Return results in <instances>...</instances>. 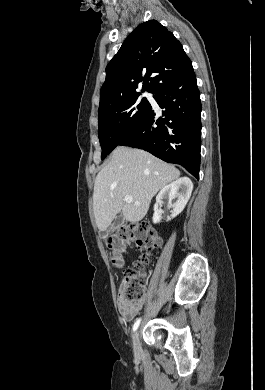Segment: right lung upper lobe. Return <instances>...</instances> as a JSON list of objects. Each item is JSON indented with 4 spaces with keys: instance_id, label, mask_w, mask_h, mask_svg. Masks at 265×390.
Instances as JSON below:
<instances>
[{
    "instance_id": "1",
    "label": "right lung upper lobe",
    "mask_w": 265,
    "mask_h": 390,
    "mask_svg": "<svg viewBox=\"0 0 265 390\" xmlns=\"http://www.w3.org/2000/svg\"><path fill=\"white\" fill-rule=\"evenodd\" d=\"M181 43L156 20L136 27L125 39L106 67V80L100 90L99 111L140 94L154 93L190 63Z\"/></svg>"
}]
</instances>
